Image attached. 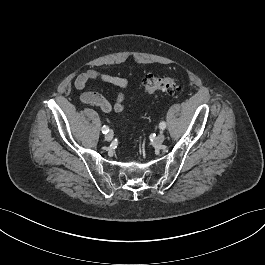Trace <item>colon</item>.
Wrapping results in <instances>:
<instances>
[{
  "label": "colon",
  "mask_w": 265,
  "mask_h": 265,
  "mask_svg": "<svg viewBox=\"0 0 265 265\" xmlns=\"http://www.w3.org/2000/svg\"><path fill=\"white\" fill-rule=\"evenodd\" d=\"M143 86L147 93L157 92L174 93L180 89L178 80L172 76L157 77L148 73L143 78Z\"/></svg>",
  "instance_id": "colon-1"
}]
</instances>
